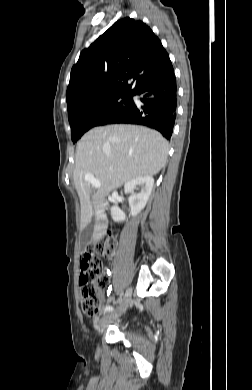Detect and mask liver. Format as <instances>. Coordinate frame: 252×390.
I'll return each instance as SVG.
<instances>
[{
	"label": "liver",
	"instance_id": "1",
	"mask_svg": "<svg viewBox=\"0 0 252 390\" xmlns=\"http://www.w3.org/2000/svg\"><path fill=\"white\" fill-rule=\"evenodd\" d=\"M168 142L152 129L135 125H109L89 130L77 144L73 180L81 203V229L95 216L93 240L108 228L105 197L135 178L156 175L165 165ZM92 174L101 183L93 190L85 181Z\"/></svg>",
	"mask_w": 252,
	"mask_h": 390
}]
</instances>
